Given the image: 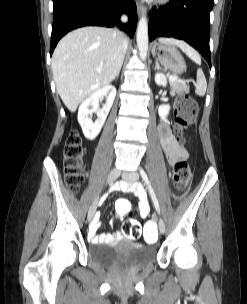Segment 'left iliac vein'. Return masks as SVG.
Masks as SVG:
<instances>
[{
    "instance_id": "1",
    "label": "left iliac vein",
    "mask_w": 247,
    "mask_h": 304,
    "mask_svg": "<svg viewBox=\"0 0 247 304\" xmlns=\"http://www.w3.org/2000/svg\"><path fill=\"white\" fill-rule=\"evenodd\" d=\"M122 178L126 182L133 183L139 179V175L137 172L123 173ZM158 227H159V231L161 233L165 232V223L161 218H159V220H158Z\"/></svg>"
}]
</instances>
